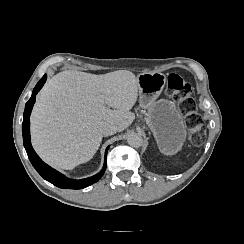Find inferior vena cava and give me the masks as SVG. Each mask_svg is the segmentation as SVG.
Returning a JSON list of instances; mask_svg holds the SVG:
<instances>
[{"label":"inferior vena cava","mask_w":244,"mask_h":244,"mask_svg":"<svg viewBox=\"0 0 244 244\" xmlns=\"http://www.w3.org/2000/svg\"><path fill=\"white\" fill-rule=\"evenodd\" d=\"M118 131V127L114 123H107L102 127V133L105 136L113 135Z\"/></svg>","instance_id":"obj_1"}]
</instances>
